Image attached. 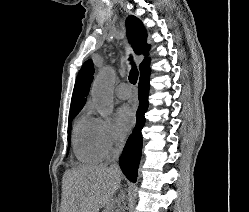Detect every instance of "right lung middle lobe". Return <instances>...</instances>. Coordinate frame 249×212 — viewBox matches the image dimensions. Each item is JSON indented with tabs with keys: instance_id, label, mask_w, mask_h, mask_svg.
I'll list each match as a JSON object with an SVG mask.
<instances>
[{
	"instance_id": "right-lung-middle-lobe-1",
	"label": "right lung middle lobe",
	"mask_w": 249,
	"mask_h": 212,
	"mask_svg": "<svg viewBox=\"0 0 249 212\" xmlns=\"http://www.w3.org/2000/svg\"><path fill=\"white\" fill-rule=\"evenodd\" d=\"M80 110H70L69 120H68V122H69V127H68V146L70 145V132H71V124H70V122L75 118V116L80 112Z\"/></svg>"
}]
</instances>
